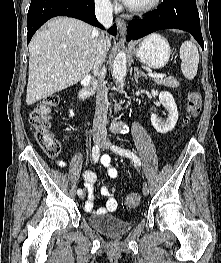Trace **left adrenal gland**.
<instances>
[{
    "label": "left adrenal gland",
    "mask_w": 221,
    "mask_h": 263,
    "mask_svg": "<svg viewBox=\"0 0 221 263\" xmlns=\"http://www.w3.org/2000/svg\"><path fill=\"white\" fill-rule=\"evenodd\" d=\"M140 77H145V78H147V76H146L143 72L139 71V69H138L137 67H135V68H134V79H135V82H136V83H138V79H139Z\"/></svg>",
    "instance_id": "1"
}]
</instances>
